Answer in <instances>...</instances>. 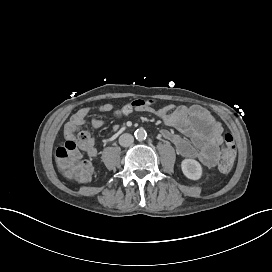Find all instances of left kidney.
<instances>
[{"label":"left kidney","mask_w":272,"mask_h":272,"mask_svg":"<svg viewBox=\"0 0 272 272\" xmlns=\"http://www.w3.org/2000/svg\"><path fill=\"white\" fill-rule=\"evenodd\" d=\"M184 174L191 179H198L201 175V165L192 159H186L182 163Z\"/></svg>","instance_id":"1"}]
</instances>
